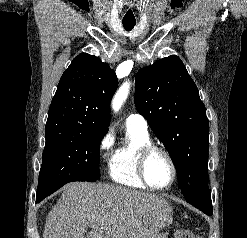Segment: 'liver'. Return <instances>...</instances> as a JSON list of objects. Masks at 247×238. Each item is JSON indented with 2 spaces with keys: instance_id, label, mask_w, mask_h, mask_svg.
I'll return each instance as SVG.
<instances>
[{
  "instance_id": "obj_1",
  "label": "liver",
  "mask_w": 247,
  "mask_h": 238,
  "mask_svg": "<svg viewBox=\"0 0 247 238\" xmlns=\"http://www.w3.org/2000/svg\"><path fill=\"white\" fill-rule=\"evenodd\" d=\"M163 198L107 183L72 182L46 218L43 238H156L172 222ZM91 228L85 236L84 229Z\"/></svg>"
}]
</instances>
